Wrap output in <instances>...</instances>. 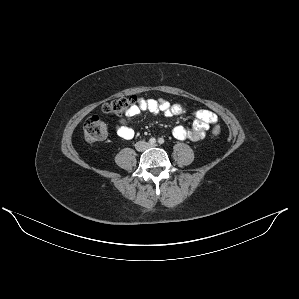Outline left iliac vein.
<instances>
[{
  "label": "left iliac vein",
  "mask_w": 299,
  "mask_h": 299,
  "mask_svg": "<svg viewBox=\"0 0 299 299\" xmlns=\"http://www.w3.org/2000/svg\"><path fill=\"white\" fill-rule=\"evenodd\" d=\"M154 146H156V145H149V148H150V147H154Z\"/></svg>",
  "instance_id": "1"
}]
</instances>
